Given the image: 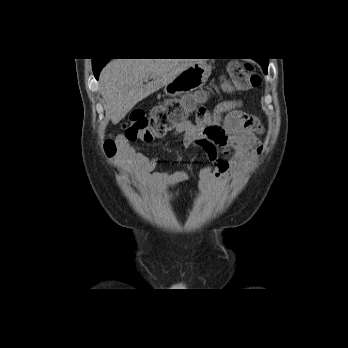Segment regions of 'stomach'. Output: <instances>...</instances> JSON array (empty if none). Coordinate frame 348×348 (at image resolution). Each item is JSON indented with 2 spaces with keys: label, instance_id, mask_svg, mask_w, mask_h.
<instances>
[{
  "label": "stomach",
  "instance_id": "obj_1",
  "mask_svg": "<svg viewBox=\"0 0 348 348\" xmlns=\"http://www.w3.org/2000/svg\"><path fill=\"white\" fill-rule=\"evenodd\" d=\"M211 74V66L205 62H197L180 72L172 81L165 85L164 92L170 97H185L188 111H192L198 104L204 103L206 97L200 92L193 91L203 88Z\"/></svg>",
  "mask_w": 348,
  "mask_h": 348
}]
</instances>
